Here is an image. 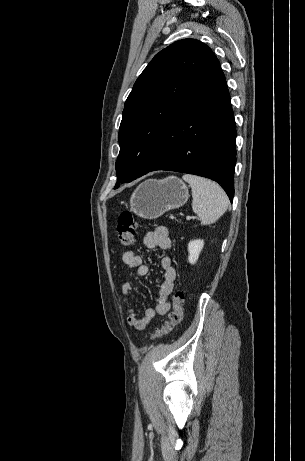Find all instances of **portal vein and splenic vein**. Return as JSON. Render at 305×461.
Wrapping results in <instances>:
<instances>
[{
  "label": "portal vein and splenic vein",
  "mask_w": 305,
  "mask_h": 461,
  "mask_svg": "<svg viewBox=\"0 0 305 461\" xmlns=\"http://www.w3.org/2000/svg\"><path fill=\"white\" fill-rule=\"evenodd\" d=\"M186 219H187V220H190V219H191V217H190V216H187V217H186Z\"/></svg>",
  "instance_id": "obj_1"
}]
</instances>
